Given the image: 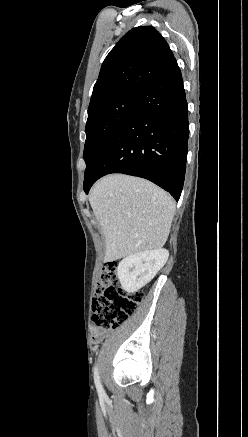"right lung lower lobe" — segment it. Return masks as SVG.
I'll return each instance as SVG.
<instances>
[{"mask_svg": "<svg viewBox=\"0 0 248 437\" xmlns=\"http://www.w3.org/2000/svg\"><path fill=\"white\" fill-rule=\"evenodd\" d=\"M188 109L176 59L138 94L127 117L93 161L84 191L109 173L146 178L176 200L183 188Z\"/></svg>", "mask_w": 248, "mask_h": 437, "instance_id": "obj_1", "label": "right lung lower lobe"}]
</instances>
